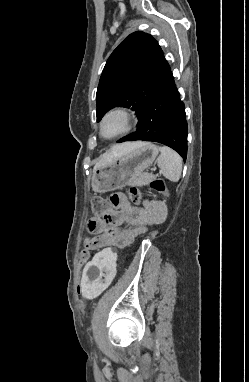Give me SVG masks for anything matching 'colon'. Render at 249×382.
Masks as SVG:
<instances>
[{
    "mask_svg": "<svg viewBox=\"0 0 249 382\" xmlns=\"http://www.w3.org/2000/svg\"><path fill=\"white\" fill-rule=\"evenodd\" d=\"M150 187L158 193H164L166 190L165 183L162 179H154L150 182ZM130 199L133 203L138 204L141 196L136 188H131L129 191ZM90 207L93 214L101 216L104 214L107 208L106 200L101 196H94L90 200ZM89 252L87 249H83L80 252V261L84 262L88 259Z\"/></svg>",
    "mask_w": 249,
    "mask_h": 382,
    "instance_id": "obj_1",
    "label": "colon"
}]
</instances>
